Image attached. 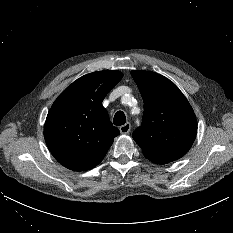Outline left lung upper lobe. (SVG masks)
Here are the masks:
<instances>
[{"mask_svg": "<svg viewBox=\"0 0 233 233\" xmlns=\"http://www.w3.org/2000/svg\"><path fill=\"white\" fill-rule=\"evenodd\" d=\"M144 102L141 127L132 136L144 156L165 164L184 156L197 134V120L179 88L166 77L150 71H132Z\"/></svg>", "mask_w": 233, "mask_h": 233, "instance_id": "5c2ea615", "label": "left lung upper lobe"}]
</instances>
